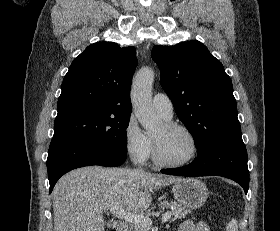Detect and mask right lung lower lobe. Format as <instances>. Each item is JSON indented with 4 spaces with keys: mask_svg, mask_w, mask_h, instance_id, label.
Returning <instances> with one entry per match:
<instances>
[{
    "mask_svg": "<svg viewBox=\"0 0 280 231\" xmlns=\"http://www.w3.org/2000/svg\"><path fill=\"white\" fill-rule=\"evenodd\" d=\"M126 155L76 139H52L48 151L47 169L50 193L58 179L73 169L100 165L116 167L123 164Z\"/></svg>",
    "mask_w": 280,
    "mask_h": 231,
    "instance_id": "right-lung-lower-lobe-1",
    "label": "right lung lower lobe"
}]
</instances>
